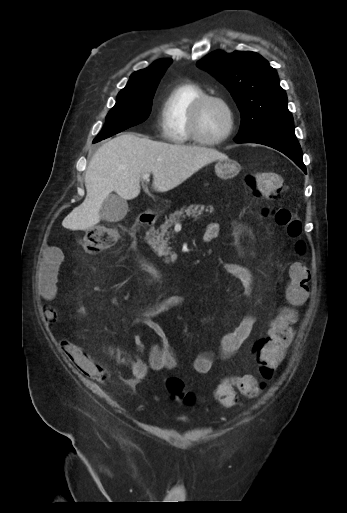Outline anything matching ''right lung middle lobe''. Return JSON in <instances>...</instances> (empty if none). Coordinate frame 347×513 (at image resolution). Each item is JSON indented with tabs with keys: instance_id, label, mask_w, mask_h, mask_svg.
Masks as SVG:
<instances>
[{
	"instance_id": "obj_1",
	"label": "right lung middle lobe",
	"mask_w": 347,
	"mask_h": 513,
	"mask_svg": "<svg viewBox=\"0 0 347 513\" xmlns=\"http://www.w3.org/2000/svg\"><path fill=\"white\" fill-rule=\"evenodd\" d=\"M158 83L159 81L150 83L134 90H121L94 143L145 121L150 114Z\"/></svg>"
}]
</instances>
